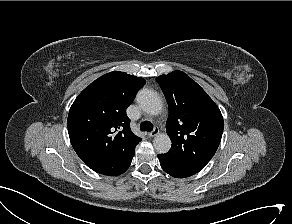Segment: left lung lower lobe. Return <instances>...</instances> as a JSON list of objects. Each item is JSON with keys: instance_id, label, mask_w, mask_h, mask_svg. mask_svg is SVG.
Returning <instances> with one entry per match:
<instances>
[{"instance_id": "obj_1", "label": "left lung lower lobe", "mask_w": 292, "mask_h": 224, "mask_svg": "<svg viewBox=\"0 0 292 224\" xmlns=\"http://www.w3.org/2000/svg\"><path fill=\"white\" fill-rule=\"evenodd\" d=\"M158 159L163 170L175 178H185L195 174L194 172L183 169L175 165L173 162L163 158L161 154H158Z\"/></svg>"}]
</instances>
